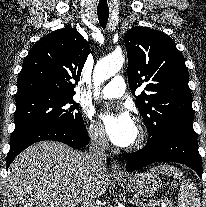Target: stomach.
I'll use <instances>...</instances> for the list:
<instances>
[{
  "label": "stomach",
  "mask_w": 206,
  "mask_h": 207,
  "mask_svg": "<svg viewBox=\"0 0 206 207\" xmlns=\"http://www.w3.org/2000/svg\"><path fill=\"white\" fill-rule=\"evenodd\" d=\"M117 181L127 190L143 198L153 197L161 187V180L153 172H139Z\"/></svg>",
  "instance_id": "obj_1"
}]
</instances>
